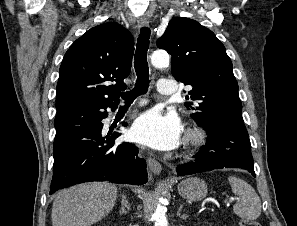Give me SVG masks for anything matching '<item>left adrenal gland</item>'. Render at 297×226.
I'll list each match as a JSON object with an SVG mask.
<instances>
[{
	"mask_svg": "<svg viewBox=\"0 0 297 226\" xmlns=\"http://www.w3.org/2000/svg\"><path fill=\"white\" fill-rule=\"evenodd\" d=\"M183 205H180L178 211H177V216H179L182 220H186L188 218V215H181V210H182Z\"/></svg>",
	"mask_w": 297,
	"mask_h": 226,
	"instance_id": "obj_1",
	"label": "left adrenal gland"
}]
</instances>
